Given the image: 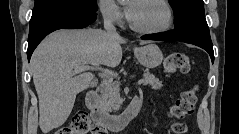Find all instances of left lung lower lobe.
Wrapping results in <instances>:
<instances>
[{
    "instance_id": "1",
    "label": "left lung lower lobe",
    "mask_w": 239,
    "mask_h": 134,
    "mask_svg": "<svg viewBox=\"0 0 239 134\" xmlns=\"http://www.w3.org/2000/svg\"><path fill=\"white\" fill-rule=\"evenodd\" d=\"M144 40L182 41L205 49L214 61L213 45L206 23L192 22L172 31L142 36Z\"/></svg>"
}]
</instances>
